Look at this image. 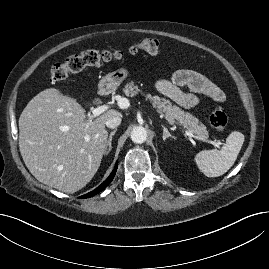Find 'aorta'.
Instances as JSON below:
<instances>
[{
	"mask_svg": "<svg viewBox=\"0 0 269 269\" xmlns=\"http://www.w3.org/2000/svg\"><path fill=\"white\" fill-rule=\"evenodd\" d=\"M131 140L136 144H142L147 140V131L142 126H136L131 132Z\"/></svg>",
	"mask_w": 269,
	"mask_h": 269,
	"instance_id": "762f6f07",
	"label": "aorta"
}]
</instances>
